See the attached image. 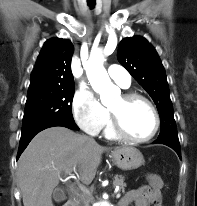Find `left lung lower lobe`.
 Segmentation results:
<instances>
[{
  "label": "left lung lower lobe",
  "instance_id": "obj_1",
  "mask_svg": "<svg viewBox=\"0 0 197 206\" xmlns=\"http://www.w3.org/2000/svg\"><path fill=\"white\" fill-rule=\"evenodd\" d=\"M155 143H160V144H164L166 146L171 147L177 154L178 156L181 158V149H180V144H179V140L178 139H173V138H161V139H157Z\"/></svg>",
  "mask_w": 197,
  "mask_h": 206
}]
</instances>
